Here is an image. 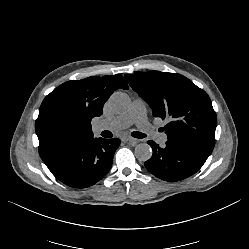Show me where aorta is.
Segmentation results:
<instances>
[{
  "label": "aorta",
  "mask_w": 249,
  "mask_h": 249,
  "mask_svg": "<svg viewBox=\"0 0 249 249\" xmlns=\"http://www.w3.org/2000/svg\"><path fill=\"white\" fill-rule=\"evenodd\" d=\"M130 98L126 93L114 92L108 100L109 108L115 113L122 114L130 108ZM135 156L139 161H147L152 156V149L147 143H140L135 147Z\"/></svg>",
  "instance_id": "obj_1"
}]
</instances>
